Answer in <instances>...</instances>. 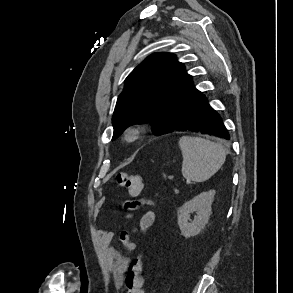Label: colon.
<instances>
[{
    "label": "colon",
    "mask_w": 293,
    "mask_h": 293,
    "mask_svg": "<svg viewBox=\"0 0 293 293\" xmlns=\"http://www.w3.org/2000/svg\"><path fill=\"white\" fill-rule=\"evenodd\" d=\"M116 183L127 189L131 195H138L143 189V180L139 175L120 172L115 175ZM144 262L141 257L132 260L124 279L126 293H144L143 272Z\"/></svg>",
    "instance_id": "obj_1"
}]
</instances>
